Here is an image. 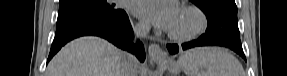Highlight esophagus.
<instances>
[{"label":"esophagus","instance_id":"34e87169","mask_svg":"<svg viewBox=\"0 0 287 76\" xmlns=\"http://www.w3.org/2000/svg\"><path fill=\"white\" fill-rule=\"evenodd\" d=\"M148 53L151 59L156 62H163L166 61L168 56L165 51L157 43H152L149 45Z\"/></svg>","mask_w":287,"mask_h":76}]
</instances>
